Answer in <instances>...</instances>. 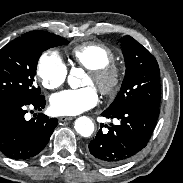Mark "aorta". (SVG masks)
Here are the masks:
<instances>
[{
    "label": "aorta",
    "instance_id": "762f6f07",
    "mask_svg": "<svg viewBox=\"0 0 183 183\" xmlns=\"http://www.w3.org/2000/svg\"><path fill=\"white\" fill-rule=\"evenodd\" d=\"M84 71L80 68L71 69L68 76V84L72 89H76L81 86V80L84 76ZM75 130L83 137H90L94 132V124L92 120L86 116H81L75 121Z\"/></svg>",
    "mask_w": 183,
    "mask_h": 183
}]
</instances>
